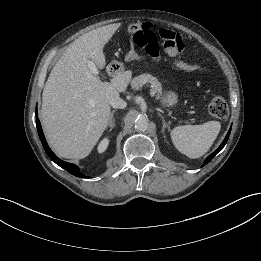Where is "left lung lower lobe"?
Here are the masks:
<instances>
[{"instance_id":"obj_1","label":"left lung lower lobe","mask_w":261,"mask_h":261,"mask_svg":"<svg viewBox=\"0 0 261 261\" xmlns=\"http://www.w3.org/2000/svg\"><path fill=\"white\" fill-rule=\"evenodd\" d=\"M230 132H231V128L229 129V131H228V133H227V135H226L224 141H223L222 144L218 147V149H217L216 151H214L211 155H209V156L206 158V160H205L203 166L206 165L219 151H221V150L223 149V147L225 146V144H226V142H227V140H228V138H229Z\"/></svg>"}]
</instances>
